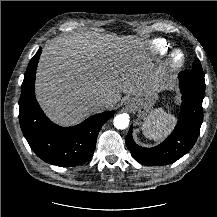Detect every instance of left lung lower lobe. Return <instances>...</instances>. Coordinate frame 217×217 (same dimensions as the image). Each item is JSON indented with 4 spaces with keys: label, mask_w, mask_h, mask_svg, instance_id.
<instances>
[{
    "label": "left lung lower lobe",
    "mask_w": 217,
    "mask_h": 217,
    "mask_svg": "<svg viewBox=\"0 0 217 217\" xmlns=\"http://www.w3.org/2000/svg\"><path fill=\"white\" fill-rule=\"evenodd\" d=\"M182 93L181 113L176 128L160 145L153 148L138 146L132 139V127L126 136V146L134 159L147 166L171 164L186 153L195 144L203 121L202 101L205 83L197 80L189 71L179 74Z\"/></svg>",
    "instance_id": "1"
}]
</instances>
